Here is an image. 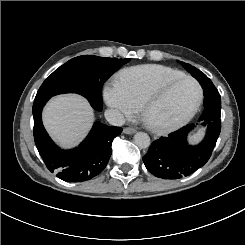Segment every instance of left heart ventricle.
Instances as JSON below:
<instances>
[{"instance_id": "left-heart-ventricle-1", "label": "left heart ventricle", "mask_w": 245, "mask_h": 245, "mask_svg": "<svg viewBox=\"0 0 245 245\" xmlns=\"http://www.w3.org/2000/svg\"><path fill=\"white\" fill-rule=\"evenodd\" d=\"M196 94V87L185 80L160 88L150 99L151 118L156 121L180 118L193 106Z\"/></svg>"}]
</instances>
